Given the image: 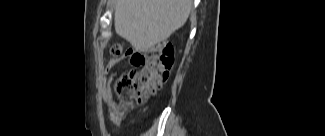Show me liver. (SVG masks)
I'll return each mask as SVG.
<instances>
[{"mask_svg":"<svg viewBox=\"0 0 325 136\" xmlns=\"http://www.w3.org/2000/svg\"><path fill=\"white\" fill-rule=\"evenodd\" d=\"M114 4L116 33L142 52L167 40L192 10V0H116Z\"/></svg>","mask_w":325,"mask_h":136,"instance_id":"1","label":"liver"}]
</instances>
